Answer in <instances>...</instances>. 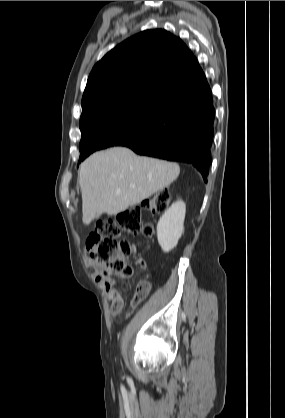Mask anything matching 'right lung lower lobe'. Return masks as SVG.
I'll return each mask as SVG.
<instances>
[{
    "label": "right lung lower lobe",
    "mask_w": 285,
    "mask_h": 418,
    "mask_svg": "<svg viewBox=\"0 0 285 418\" xmlns=\"http://www.w3.org/2000/svg\"><path fill=\"white\" fill-rule=\"evenodd\" d=\"M215 107L206 83L167 106L150 125L116 146L139 155L192 164L207 182L212 159Z\"/></svg>",
    "instance_id": "obj_1"
}]
</instances>
